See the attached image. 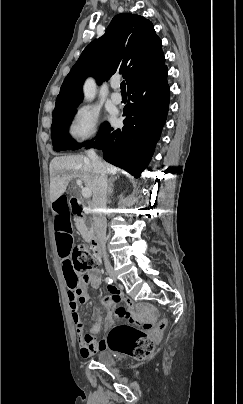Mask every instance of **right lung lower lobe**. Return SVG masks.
Wrapping results in <instances>:
<instances>
[{
  "mask_svg": "<svg viewBox=\"0 0 243 404\" xmlns=\"http://www.w3.org/2000/svg\"><path fill=\"white\" fill-rule=\"evenodd\" d=\"M128 94L133 103L124 109V127L114 130L107 124L96 142L85 145L101 149L106 161L138 178L150 161L168 113L170 93L165 64L130 85Z\"/></svg>",
  "mask_w": 243,
  "mask_h": 404,
  "instance_id": "obj_1",
  "label": "right lung lower lobe"
}]
</instances>
